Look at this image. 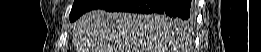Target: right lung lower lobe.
I'll use <instances>...</instances> for the list:
<instances>
[{
  "label": "right lung lower lobe",
  "mask_w": 261,
  "mask_h": 52,
  "mask_svg": "<svg viewBox=\"0 0 261 52\" xmlns=\"http://www.w3.org/2000/svg\"><path fill=\"white\" fill-rule=\"evenodd\" d=\"M98 8L110 12L155 13L190 19L193 16L194 2L190 0H106Z\"/></svg>",
  "instance_id": "98d812e1"
}]
</instances>
